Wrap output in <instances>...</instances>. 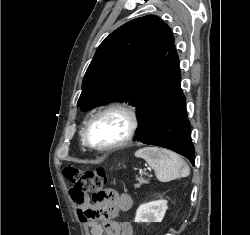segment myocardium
<instances>
[{
	"label": "myocardium",
	"mask_w": 250,
	"mask_h": 235,
	"mask_svg": "<svg viewBox=\"0 0 250 235\" xmlns=\"http://www.w3.org/2000/svg\"><path fill=\"white\" fill-rule=\"evenodd\" d=\"M108 113L122 114L127 122L126 131L123 137L114 143L104 146L94 145L89 137L90 126L98 117ZM138 127H139V116L134 106L125 102H112L106 106L99 108L90 115L83 128V142L88 148L98 152L113 151L128 145L135 137Z\"/></svg>",
	"instance_id": "f54148a6"
}]
</instances>
